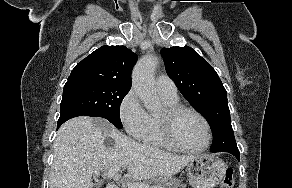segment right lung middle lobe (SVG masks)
I'll use <instances>...</instances> for the list:
<instances>
[{"instance_id": "obj_1", "label": "right lung middle lobe", "mask_w": 292, "mask_h": 188, "mask_svg": "<svg viewBox=\"0 0 292 188\" xmlns=\"http://www.w3.org/2000/svg\"><path fill=\"white\" fill-rule=\"evenodd\" d=\"M130 88L107 83L74 80L67 81L61 101V115L77 113L102 117L121 129L120 105Z\"/></svg>"}]
</instances>
